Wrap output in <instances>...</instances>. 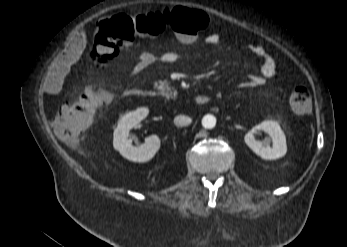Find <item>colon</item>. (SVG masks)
Instances as JSON below:
<instances>
[{
	"instance_id": "1",
	"label": "colon",
	"mask_w": 347,
	"mask_h": 247,
	"mask_svg": "<svg viewBox=\"0 0 347 247\" xmlns=\"http://www.w3.org/2000/svg\"><path fill=\"white\" fill-rule=\"evenodd\" d=\"M208 22L204 12L185 7L137 16L117 13L99 23L92 57L96 64L105 66L137 36H157L168 28L176 32L182 41L192 42L197 34L207 27ZM108 101L109 96L105 90L98 85H91L80 99L62 102L57 108L54 120L56 134L65 140L78 137L91 127L94 114L100 105ZM289 101L293 110L298 113H308L311 109V95L304 86L295 87Z\"/></svg>"
}]
</instances>
